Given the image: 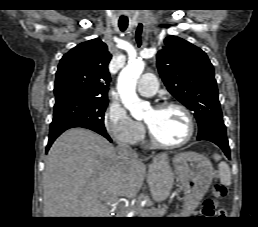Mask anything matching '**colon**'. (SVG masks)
<instances>
[{
  "label": "colon",
  "instance_id": "5ec220e1",
  "mask_svg": "<svg viewBox=\"0 0 258 227\" xmlns=\"http://www.w3.org/2000/svg\"><path fill=\"white\" fill-rule=\"evenodd\" d=\"M212 193L216 197L223 198L227 195V187L224 184L215 183L212 186Z\"/></svg>",
  "mask_w": 258,
  "mask_h": 227
}]
</instances>
